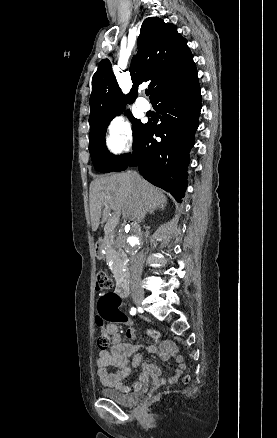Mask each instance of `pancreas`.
I'll return each mask as SVG.
<instances>
[{"instance_id": "1", "label": "pancreas", "mask_w": 277, "mask_h": 438, "mask_svg": "<svg viewBox=\"0 0 277 438\" xmlns=\"http://www.w3.org/2000/svg\"><path fill=\"white\" fill-rule=\"evenodd\" d=\"M114 231H105L103 235L99 236L96 244H100V253H105L104 257L108 261L110 270H121L124 264L122 259L123 254L121 251H117V245L114 243L115 239Z\"/></svg>"}]
</instances>
